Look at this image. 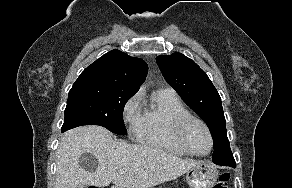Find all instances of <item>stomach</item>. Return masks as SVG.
Here are the masks:
<instances>
[{
  "label": "stomach",
  "instance_id": "1",
  "mask_svg": "<svg viewBox=\"0 0 292 188\" xmlns=\"http://www.w3.org/2000/svg\"><path fill=\"white\" fill-rule=\"evenodd\" d=\"M218 177L217 167L209 161H200L186 172V181L190 188H213Z\"/></svg>",
  "mask_w": 292,
  "mask_h": 188
}]
</instances>
